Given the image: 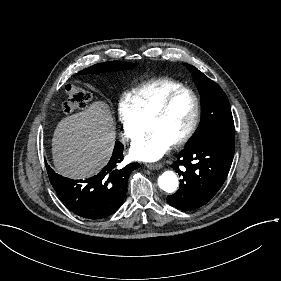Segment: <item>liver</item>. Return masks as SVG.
<instances>
[{"label":"liver","mask_w":281,"mask_h":281,"mask_svg":"<svg viewBox=\"0 0 281 281\" xmlns=\"http://www.w3.org/2000/svg\"><path fill=\"white\" fill-rule=\"evenodd\" d=\"M115 139L116 119L109 105L94 101L56 125L51 141L53 165L67 178L94 176L110 161Z\"/></svg>","instance_id":"liver-1"}]
</instances>
